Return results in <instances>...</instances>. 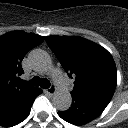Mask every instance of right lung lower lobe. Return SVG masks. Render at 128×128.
<instances>
[{
	"mask_svg": "<svg viewBox=\"0 0 128 128\" xmlns=\"http://www.w3.org/2000/svg\"><path fill=\"white\" fill-rule=\"evenodd\" d=\"M41 93V89L34 88L16 98L5 110L0 112V125L11 127L25 120L30 114L35 98Z\"/></svg>",
	"mask_w": 128,
	"mask_h": 128,
	"instance_id": "obj_1",
	"label": "right lung lower lobe"
}]
</instances>
